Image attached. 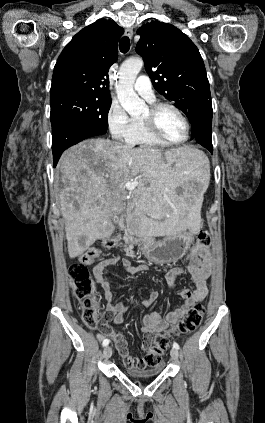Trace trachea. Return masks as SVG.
Here are the masks:
<instances>
[{
    "label": "trachea",
    "instance_id": "3493384b",
    "mask_svg": "<svg viewBox=\"0 0 265 423\" xmlns=\"http://www.w3.org/2000/svg\"><path fill=\"white\" fill-rule=\"evenodd\" d=\"M119 48L122 53H127L130 49V39L126 36L122 37L119 41Z\"/></svg>",
    "mask_w": 265,
    "mask_h": 423
}]
</instances>
